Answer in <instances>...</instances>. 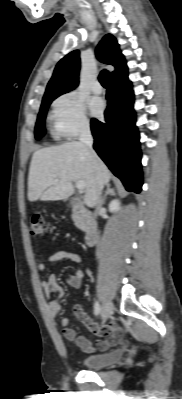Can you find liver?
<instances>
[{"label":"liver","mask_w":182,"mask_h":399,"mask_svg":"<svg viewBox=\"0 0 182 399\" xmlns=\"http://www.w3.org/2000/svg\"><path fill=\"white\" fill-rule=\"evenodd\" d=\"M111 173L103 161L93 157L79 141L38 149L34 152L28 176V200L56 201L74 193L73 182L85 184L84 202L98 203L97 187L108 185Z\"/></svg>","instance_id":"liver-1"}]
</instances>
